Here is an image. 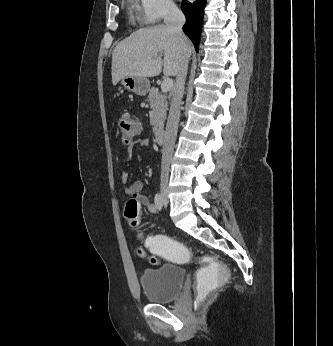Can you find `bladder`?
<instances>
[{
  "label": "bladder",
  "mask_w": 333,
  "mask_h": 346,
  "mask_svg": "<svg viewBox=\"0 0 333 346\" xmlns=\"http://www.w3.org/2000/svg\"><path fill=\"white\" fill-rule=\"evenodd\" d=\"M185 278L184 270L175 264H164L145 269L140 284L147 299L154 304L167 303L180 293Z\"/></svg>",
  "instance_id": "1"
}]
</instances>
